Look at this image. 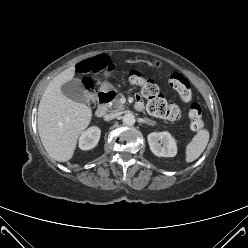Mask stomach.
<instances>
[{"mask_svg":"<svg viewBox=\"0 0 248 248\" xmlns=\"http://www.w3.org/2000/svg\"><path fill=\"white\" fill-rule=\"evenodd\" d=\"M132 63L141 64V63H144V61L140 59H135L132 61ZM112 88H113L112 84H110L109 82H103L100 87V91L103 93H108L112 90Z\"/></svg>","mask_w":248,"mask_h":248,"instance_id":"obj_1","label":"stomach"}]
</instances>
